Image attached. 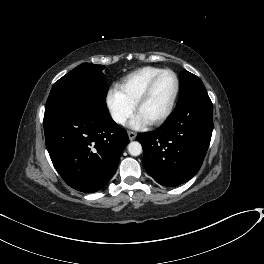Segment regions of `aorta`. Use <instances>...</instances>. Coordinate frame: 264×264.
<instances>
[{
	"label": "aorta",
	"instance_id": "762f6f07",
	"mask_svg": "<svg viewBox=\"0 0 264 264\" xmlns=\"http://www.w3.org/2000/svg\"><path fill=\"white\" fill-rule=\"evenodd\" d=\"M128 152L132 156H138L142 153V146L139 142L133 141L130 142L128 145Z\"/></svg>",
	"mask_w": 264,
	"mask_h": 264
}]
</instances>
